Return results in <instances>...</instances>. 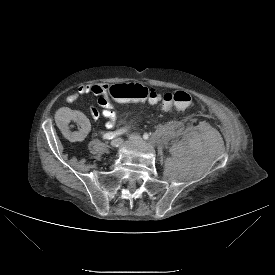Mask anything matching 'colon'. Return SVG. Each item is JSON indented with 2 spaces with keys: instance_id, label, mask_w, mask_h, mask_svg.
I'll list each match as a JSON object with an SVG mask.
<instances>
[{
  "instance_id": "obj_1",
  "label": "colon",
  "mask_w": 275,
  "mask_h": 275,
  "mask_svg": "<svg viewBox=\"0 0 275 275\" xmlns=\"http://www.w3.org/2000/svg\"><path fill=\"white\" fill-rule=\"evenodd\" d=\"M110 95L122 102H149L158 100L157 93L140 84L116 85L111 87ZM192 96L183 90L168 92L163 95L162 104L165 109L175 107L186 110L192 105Z\"/></svg>"
}]
</instances>
